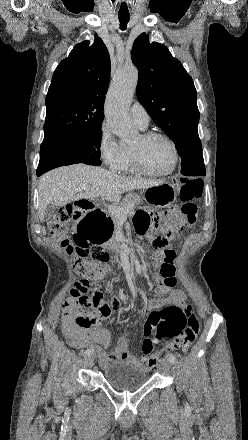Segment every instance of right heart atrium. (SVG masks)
<instances>
[{
  "label": "right heart atrium",
  "mask_w": 248,
  "mask_h": 440,
  "mask_svg": "<svg viewBox=\"0 0 248 440\" xmlns=\"http://www.w3.org/2000/svg\"><path fill=\"white\" fill-rule=\"evenodd\" d=\"M98 153L101 161L111 170L117 171L124 159V149L106 123L100 128Z\"/></svg>",
  "instance_id": "right-heart-atrium-1"
}]
</instances>
